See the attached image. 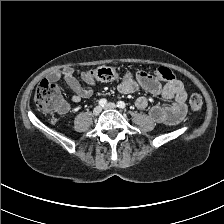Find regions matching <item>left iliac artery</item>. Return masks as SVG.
<instances>
[{"mask_svg":"<svg viewBox=\"0 0 224 224\" xmlns=\"http://www.w3.org/2000/svg\"><path fill=\"white\" fill-rule=\"evenodd\" d=\"M117 106L122 109L126 108V104L123 101H118Z\"/></svg>","mask_w":224,"mask_h":224,"instance_id":"left-iliac-artery-1","label":"left iliac artery"}]
</instances>
